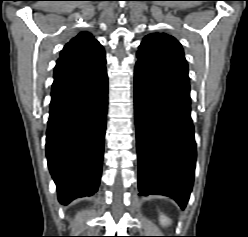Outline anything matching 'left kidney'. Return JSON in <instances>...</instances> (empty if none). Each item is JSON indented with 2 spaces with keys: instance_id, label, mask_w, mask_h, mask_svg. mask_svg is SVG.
Here are the masks:
<instances>
[{
  "instance_id": "1",
  "label": "left kidney",
  "mask_w": 248,
  "mask_h": 237,
  "mask_svg": "<svg viewBox=\"0 0 248 237\" xmlns=\"http://www.w3.org/2000/svg\"><path fill=\"white\" fill-rule=\"evenodd\" d=\"M159 222L162 226H168L171 224V220L170 218H168L167 216L163 215V214H160V217H159Z\"/></svg>"
}]
</instances>
